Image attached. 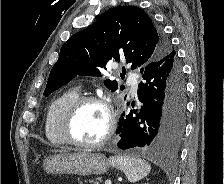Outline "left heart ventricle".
I'll list each match as a JSON object with an SVG mask.
<instances>
[{
    "instance_id": "1",
    "label": "left heart ventricle",
    "mask_w": 224,
    "mask_h": 184,
    "mask_svg": "<svg viewBox=\"0 0 224 184\" xmlns=\"http://www.w3.org/2000/svg\"><path fill=\"white\" fill-rule=\"evenodd\" d=\"M108 116L99 104L88 103L81 107L73 123L74 137L81 142L92 143L106 133Z\"/></svg>"
}]
</instances>
